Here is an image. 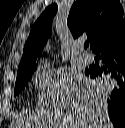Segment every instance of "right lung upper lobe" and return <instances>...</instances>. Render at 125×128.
<instances>
[{
  "label": "right lung upper lobe",
  "mask_w": 125,
  "mask_h": 128,
  "mask_svg": "<svg viewBox=\"0 0 125 128\" xmlns=\"http://www.w3.org/2000/svg\"><path fill=\"white\" fill-rule=\"evenodd\" d=\"M56 12L57 4L48 6L32 26L18 71L36 64V57L41 54L52 32V20ZM67 24L74 38L86 33L93 49L125 24L123 7L118 0H77L71 7Z\"/></svg>",
  "instance_id": "cb5924a9"
}]
</instances>
